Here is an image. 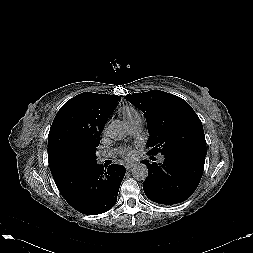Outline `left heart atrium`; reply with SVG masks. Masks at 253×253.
Wrapping results in <instances>:
<instances>
[{
  "instance_id": "1",
  "label": "left heart atrium",
  "mask_w": 253,
  "mask_h": 253,
  "mask_svg": "<svg viewBox=\"0 0 253 253\" xmlns=\"http://www.w3.org/2000/svg\"><path fill=\"white\" fill-rule=\"evenodd\" d=\"M123 153L127 154L130 156L132 154V151L130 149L123 150Z\"/></svg>"
}]
</instances>
